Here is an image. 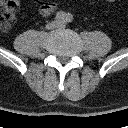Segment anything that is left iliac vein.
Wrapping results in <instances>:
<instances>
[{"instance_id":"1","label":"left iliac vein","mask_w":128,"mask_h":128,"mask_svg":"<svg viewBox=\"0 0 128 128\" xmlns=\"http://www.w3.org/2000/svg\"><path fill=\"white\" fill-rule=\"evenodd\" d=\"M58 27L59 28H64L65 27V23L63 21H59L58 22Z\"/></svg>"}]
</instances>
